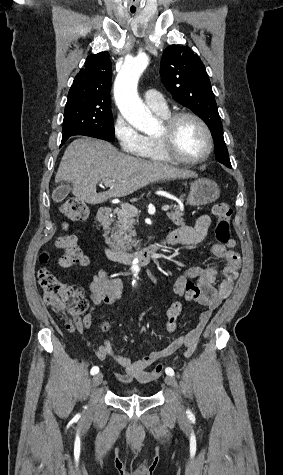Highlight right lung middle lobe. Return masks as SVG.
<instances>
[{
    "label": "right lung middle lobe",
    "instance_id": "obj_1",
    "mask_svg": "<svg viewBox=\"0 0 283 475\" xmlns=\"http://www.w3.org/2000/svg\"><path fill=\"white\" fill-rule=\"evenodd\" d=\"M73 135H85L113 142L115 137L111 103L101 100L68 99L62 137Z\"/></svg>",
    "mask_w": 283,
    "mask_h": 475
}]
</instances>
